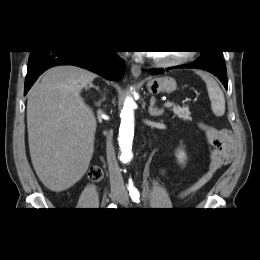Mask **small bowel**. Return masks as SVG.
Returning a JSON list of instances; mask_svg holds the SVG:
<instances>
[{"instance_id": "c3829d8e", "label": "small bowel", "mask_w": 260, "mask_h": 260, "mask_svg": "<svg viewBox=\"0 0 260 260\" xmlns=\"http://www.w3.org/2000/svg\"><path fill=\"white\" fill-rule=\"evenodd\" d=\"M201 128L208 142L214 146V149L208 155L209 167L197 182L178 194L179 200L187 199L199 191L211 179L217 169L231 161L235 153V141L230 130L214 129L203 124Z\"/></svg>"}]
</instances>
